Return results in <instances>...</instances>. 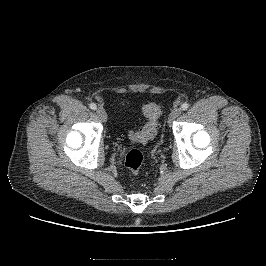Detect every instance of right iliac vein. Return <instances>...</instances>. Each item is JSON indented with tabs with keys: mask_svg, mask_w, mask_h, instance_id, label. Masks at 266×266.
Segmentation results:
<instances>
[{
	"mask_svg": "<svg viewBox=\"0 0 266 266\" xmlns=\"http://www.w3.org/2000/svg\"><path fill=\"white\" fill-rule=\"evenodd\" d=\"M96 113L102 121L105 122L107 120V114L103 108H97Z\"/></svg>",
	"mask_w": 266,
	"mask_h": 266,
	"instance_id": "right-iliac-vein-1",
	"label": "right iliac vein"
}]
</instances>
